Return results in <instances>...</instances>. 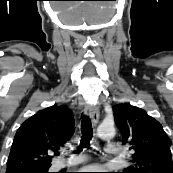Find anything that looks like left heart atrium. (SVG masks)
I'll return each mask as SVG.
<instances>
[{"label":"left heart atrium","instance_id":"obj_1","mask_svg":"<svg viewBox=\"0 0 173 173\" xmlns=\"http://www.w3.org/2000/svg\"><path fill=\"white\" fill-rule=\"evenodd\" d=\"M85 173H102L104 171V168L99 165H92L85 167L83 169Z\"/></svg>","mask_w":173,"mask_h":173}]
</instances>
